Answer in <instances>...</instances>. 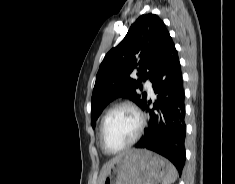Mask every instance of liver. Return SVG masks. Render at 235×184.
<instances>
[{
  "label": "liver",
  "instance_id": "6515ba94",
  "mask_svg": "<svg viewBox=\"0 0 235 184\" xmlns=\"http://www.w3.org/2000/svg\"><path fill=\"white\" fill-rule=\"evenodd\" d=\"M122 156H125V154H120V156H116V158H113V160H111V162H107V164H104V166L101 170L99 184H102L104 178H106L107 172H109L112 164H115V162H118V160H120V158H122Z\"/></svg>",
  "mask_w": 235,
  "mask_h": 184
}]
</instances>
